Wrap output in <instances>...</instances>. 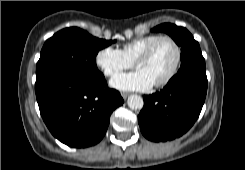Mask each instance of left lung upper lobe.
Returning <instances> with one entry per match:
<instances>
[{
  "label": "left lung upper lobe",
  "mask_w": 245,
  "mask_h": 170,
  "mask_svg": "<svg viewBox=\"0 0 245 170\" xmlns=\"http://www.w3.org/2000/svg\"><path fill=\"white\" fill-rule=\"evenodd\" d=\"M151 31L167 33L181 47L180 69L193 68L206 70L205 60L202 56L200 46L186 28L178 27L171 23H164L154 27Z\"/></svg>",
  "instance_id": "obj_1"
}]
</instances>
